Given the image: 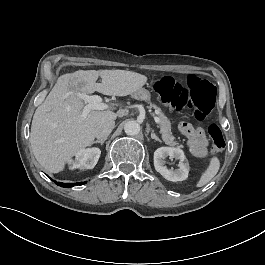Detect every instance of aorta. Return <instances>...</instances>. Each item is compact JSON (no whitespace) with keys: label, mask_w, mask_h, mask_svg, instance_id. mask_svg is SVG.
Returning a JSON list of instances; mask_svg holds the SVG:
<instances>
[{"label":"aorta","mask_w":265,"mask_h":265,"mask_svg":"<svg viewBox=\"0 0 265 265\" xmlns=\"http://www.w3.org/2000/svg\"><path fill=\"white\" fill-rule=\"evenodd\" d=\"M124 131L129 136H136L140 132V125L136 121H128L124 125Z\"/></svg>","instance_id":"1"}]
</instances>
